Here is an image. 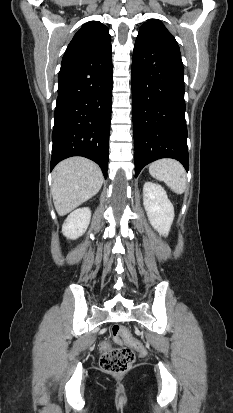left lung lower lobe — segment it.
I'll use <instances>...</instances> for the list:
<instances>
[{
    "label": "left lung lower lobe",
    "instance_id": "obj_1",
    "mask_svg": "<svg viewBox=\"0 0 233 413\" xmlns=\"http://www.w3.org/2000/svg\"><path fill=\"white\" fill-rule=\"evenodd\" d=\"M183 63L179 49L151 40L136 42L132 61L135 177L160 158L189 168Z\"/></svg>",
    "mask_w": 233,
    "mask_h": 413
}]
</instances>
